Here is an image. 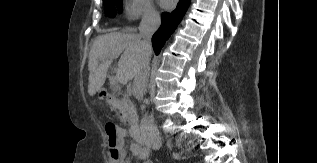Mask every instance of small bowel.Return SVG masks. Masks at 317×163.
Instances as JSON below:
<instances>
[{"instance_id":"small-bowel-1","label":"small bowel","mask_w":317,"mask_h":163,"mask_svg":"<svg viewBox=\"0 0 317 163\" xmlns=\"http://www.w3.org/2000/svg\"><path fill=\"white\" fill-rule=\"evenodd\" d=\"M121 139H124V131H120ZM129 149L134 156L143 161V163H153L152 160L149 159V151L144 147H140L137 143H132L129 145ZM119 163H131V161L124 155Z\"/></svg>"}]
</instances>
